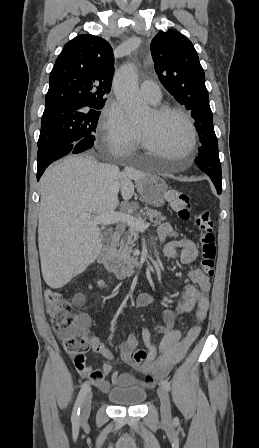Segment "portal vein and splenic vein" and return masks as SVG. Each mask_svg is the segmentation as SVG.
Masks as SVG:
<instances>
[{
  "mask_svg": "<svg viewBox=\"0 0 259 448\" xmlns=\"http://www.w3.org/2000/svg\"><path fill=\"white\" fill-rule=\"evenodd\" d=\"M79 218L82 220H94L97 224H104V226H108V224H118V222H123V224H127L130 228H134L137 232H145L146 224H144V220H137L134 216H130V214H122V212H106V214H98V216H91V214H79Z\"/></svg>",
  "mask_w": 259,
  "mask_h": 448,
  "instance_id": "portal-vein-and-splenic-vein-1",
  "label": "portal vein and splenic vein"
}]
</instances>
